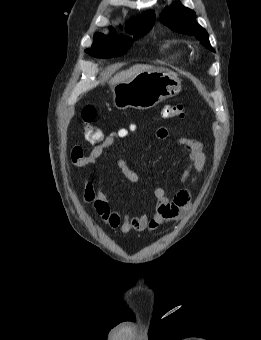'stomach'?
I'll list each match as a JSON object with an SVG mask.
<instances>
[{
  "instance_id": "stomach-1",
  "label": "stomach",
  "mask_w": 261,
  "mask_h": 340,
  "mask_svg": "<svg viewBox=\"0 0 261 340\" xmlns=\"http://www.w3.org/2000/svg\"><path fill=\"white\" fill-rule=\"evenodd\" d=\"M181 90L180 79L172 72L149 70L112 87L113 105L124 110H146Z\"/></svg>"
}]
</instances>
